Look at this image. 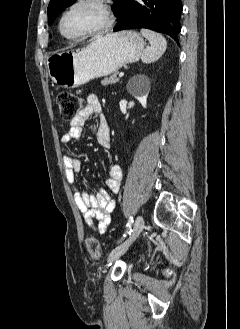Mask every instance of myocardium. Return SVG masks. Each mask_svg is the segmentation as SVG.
I'll use <instances>...</instances> for the list:
<instances>
[{"instance_id": "f54148a6", "label": "myocardium", "mask_w": 240, "mask_h": 329, "mask_svg": "<svg viewBox=\"0 0 240 329\" xmlns=\"http://www.w3.org/2000/svg\"><path fill=\"white\" fill-rule=\"evenodd\" d=\"M82 4H93L99 7L102 10L104 21L95 26L92 27L86 31H83L81 33L75 34V35H66L62 30V23L64 18L77 6ZM115 21L114 11L112 8V4L110 0H74L72 3H70L60 14L58 21H57V30L59 34L66 40L69 41H75L79 39H83L86 37H89L91 35L104 32L108 29H110Z\"/></svg>"}]
</instances>
